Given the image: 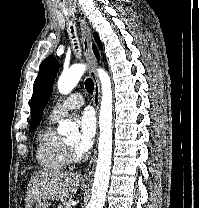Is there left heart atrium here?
Segmentation results:
<instances>
[{
	"mask_svg": "<svg viewBox=\"0 0 199 208\" xmlns=\"http://www.w3.org/2000/svg\"><path fill=\"white\" fill-rule=\"evenodd\" d=\"M80 134L75 144L78 153H86L93 144L96 133V121L92 110L85 109L77 118Z\"/></svg>",
	"mask_w": 199,
	"mask_h": 208,
	"instance_id": "obj_1",
	"label": "left heart atrium"
}]
</instances>
